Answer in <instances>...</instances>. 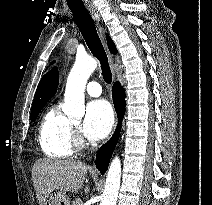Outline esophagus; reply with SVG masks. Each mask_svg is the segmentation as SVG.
I'll return each mask as SVG.
<instances>
[{
  "instance_id": "1",
  "label": "esophagus",
  "mask_w": 212,
  "mask_h": 205,
  "mask_svg": "<svg viewBox=\"0 0 212 205\" xmlns=\"http://www.w3.org/2000/svg\"><path fill=\"white\" fill-rule=\"evenodd\" d=\"M86 7H87L88 11L90 12L93 20L96 23V26H97L98 31H99V35H100V37L103 41L104 47H105L106 52H107V56H108V59H109V63H110V67H111V70H112V73H113V77L115 78L116 74H115L114 58H113L112 54L109 52V50L107 48V44L105 42L104 29H103V27L101 26V23H100V15H99L98 11L96 10L95 6L92 3H87ZM94 172H96V169H94Z\"/></svg>"
}]
</instances>
